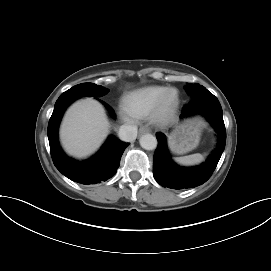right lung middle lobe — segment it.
<instances>
[{
    "label": "right lung middle lobe",
    "mask_w": 271,
    "mask_h": 271,
    "mask_svg": "<svg viewBox=\"0 0 271 271\" xmlns=\"http://www.w3.org/2000/svg\"><path fill=\"white\" fill-rule=\"evenodd\" d=\"M108 92V89L100 85H96L94 83H82L65 91L59 98L71 97L77 99L81 96L102 97Z\"/></svg>",
    "instance_id": "obj_1"
}]
</instances>
